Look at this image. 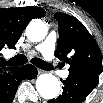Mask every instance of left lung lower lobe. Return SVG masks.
<instances>
[{
    "label": "left lung lower lobe",
    "instance_id": "1",
    "mask_svg": "<svg viewBox=\"0 0 103 103\" xmlns=\"http://www.w3.org/2000/svg\"><path fill=\"white\" fill-rule=\"evenodd\" d=\"M99 75L96 74H69L63 80V92L56 99L48 103H82L96 87Z\"/></svg>",
    "mask_w": 103,
    "mask_h": 103
}]
</instances>
